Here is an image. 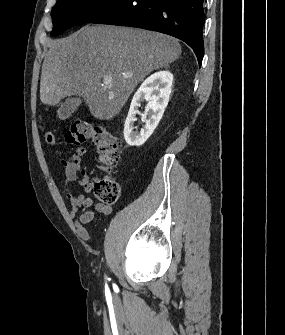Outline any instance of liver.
Here are the masks:
<instances>
[{"label":"liver","mask_w":285,"mask_h":335,"mask_svg":"<svg viewBox=\"0 0 285 335\" xmlns=\"http://www.w3.org/2000/svg\"><path fill=\"white\" fill-rule=\"evenodd\" d=\"M42 66L40 100L57 106L68 96L85 102L96 120H112L136 86L181 54L178 40L140 28L88 24L61 40H49ZM119 74H130L122 78ZM112 76L111 84H102Z\"/></svg>","instance_id":"1"}]
</instances>
